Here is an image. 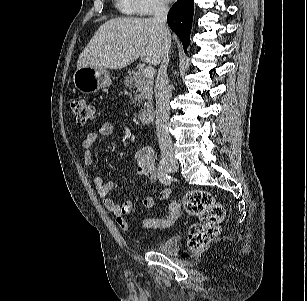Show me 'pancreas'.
<instances>
[{
  "mask_svg": "<svg viewBox=\"0 0 307 301\" xmlns=\"http://www.w3.org/2000/svg\"><path fill=\"white\" fill-rule=\"evenodd\" d=\"M153 83V78L145 77L139 69L129 70L124 82L126 87L135 89L133 91L134 98L132 99V103L137 104L139 107L143 105V101H147L149 105L152 104Z\"/></svg>",
  "mask_w": 307,
  "mask_h": 301,
  "instance_id": "obj_1",
  "label": "pancreas"
}]
</instances>
